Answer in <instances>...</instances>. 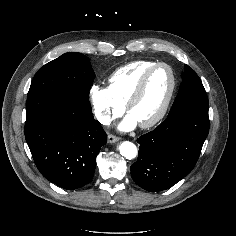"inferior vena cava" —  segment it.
<instances>
[{"label":"inferior vena cava","mask_w":236,"mask_h":236,"mask_svg":"<svg viewBox=\"0 0 236 236\" xmlns=\"http://www.w3.org/2000/svg\"><path fill=\"white\" fill-rule=\"evenodd\" d=\"M97 120L103 125H110L111 118L108 115H102L100 113H96Z\"/></svg>","instance_id":"obj_1"}]
</instances>
